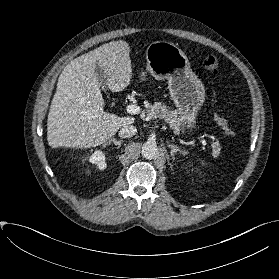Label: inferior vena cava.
Instances as JSON below:
<instances>
[{"instance_id":"inferior-vena-cava-1","label":"inferior vena cava","mask_w":279,"mask_h":279,"mask_svg":"<svg viewBox=\"0 0 279 279\" xmlns=\"http://www.w3.org/2000/svg\"><path fill=\"white\" fill-rule=\"evenodd\" d=\"M137 133V129L135 126L126 125L122 127L119 131V136L121 138H130Z\"/></svg>"}]
</instances>
